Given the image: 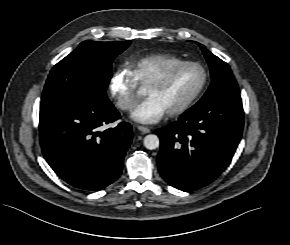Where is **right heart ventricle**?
<instances>
[{
    "mask_svg": "<svg viewBox=\"0 0 290 245\" xmlns=\"http://www.w3.org/2000/svg\"><path fill=\"white\" fill-rule=\"evenodd\" d=\"M180 57L170 54H154L129 64V71L140 85H146L167 67L183 62Z\"/></svg>",
    "mask_w": 290,
    "mask_h": 245,
    "instance_id": "obj_1",
    "label": "right heart ventricle"
}]
</instances>
